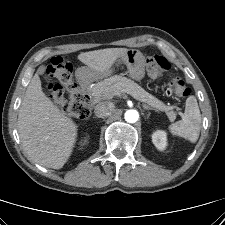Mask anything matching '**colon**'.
Returning a JSON list of instances; mask_svg holds the SVG:
<instances>
[{
    "label": "colon",
    "instance_id": "obj_1",
    "mask_svg": "<svg viewBox=\"0 0 225 225\" xmlns=\"http://www.w3.org/2000/svg\"><path fill=\"white\" fill-rule=\"evenodd\" d=\"M148 73L158 77L170 71L171 65L163 56L150 55L146 60ZM48 74L56 80L48 87L50 100L65 114L85 119L90 114V105L72 77V65L62 56L53 57L47 67ZM169 95L187 97L190 89L182 78L175 77L167 85Z\"/></svg>",
    "mask_w": 225,
    "mask_h": 225
}]
</instances>
